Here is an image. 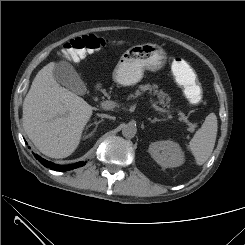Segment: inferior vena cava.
<instances>
[{
	"instance_id": "inferior-vena-cava-1",
	"label": "inferior vena cava",
	"mask_w": 245,
	"mask_h": 245,
	"mask_svg": "<svg viewBox=\"0 0 245 245\" xmlns=\"http://www.w3.org/2000/svg\"><path fill=\"white\" fill-rule=\"evenodd\" d=\"M101 118H109V119H114V117L107 115V114H97Z\"/></svg>"
}]
</instances>
